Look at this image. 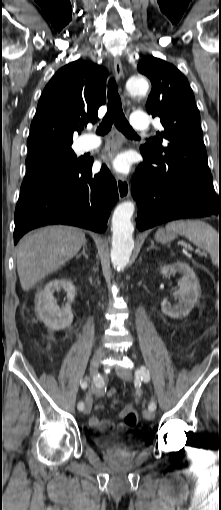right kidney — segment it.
<instances>
[{
  "label": "right kidney",
  "mask_w": 221,
  "mask_h": 510,
  "mask_svg": "<svg viewBox=\"0 0 221 510\" xmlns=\"http://www.w3.org/2000/svg\"><path fill=\"white\" fill-rule=\"evenodd\" d=\"M64 289L67 292L68 303L60 308L54 303L53 293ZM75 298V286L71 281L60 279L49 282L42 290L38 291L35 298V309L44 324L52 330L65 329L71 325L73 314L71 303Z\"/></svg>",
  "instance_id": "right-kidney-1"
}]
</instances>
